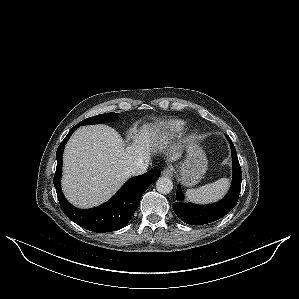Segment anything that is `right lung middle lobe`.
Wrapping results in <instances>:
<instances>
[{
    "instance_id": "obj_1",
    "label": "right lung middle lobe",
    "mask_w": 299,
    "mask_h": 299,
    "mask_svg": "<svg viewBox=\"0 0 299 299\" xmlns=\"http://www.w3.org/2000/svg\"><path fill=\"white\" fill-rule=\"evenodd\" d=\"M117 113L111 112V113H105V114H100L96 115L87 119H84L77 125H91V124H101V123H106L113 121Z\"/></svg>"
}]
</instances>
